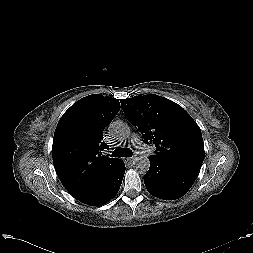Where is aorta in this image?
<instances>
[{"mask_svg":"<svg viewBox=\"0 0 253 253\" xmlns=\"http://www.w3.org/2000/svg\"><path fill=\"white\" fill-rule=\"evenodd\" d=\"M109 130L115 137L120 139H125L130 135V128L128 125L119 121L113 122L110 125ZM134 165L139 173L145 174L150 167V162L147 157H140L135 159Z\"/></svg>","mask_w":253,"mask_h":253,"instance_id":"aorta-1","label":"aorta"}]
</instances>
